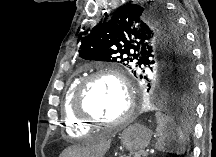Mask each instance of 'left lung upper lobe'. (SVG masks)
Masks as SVG:
<instances>
[{"label":"left lung upper lobe","mask_w":216,"mask_h":157,"mask_svg":"<svg viewBox=\"0 0 216 157\" xmlns=\"http://www.w3.org/2000/svg\"><path fill=\"white\" fill-rule=\"evenodd\" d=\"M79 56L129 68L134 62L139 67L147 66L165 92L196 86L195 66L184 35L175 18L158 4L129 3L120 7L109 21L81 38Z\"/></svg>","instance_id":"obj_1"}]
</instances>
